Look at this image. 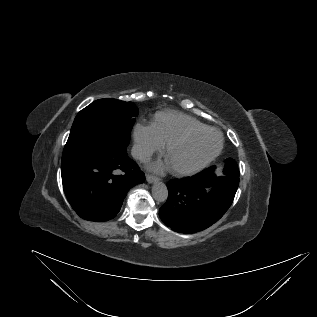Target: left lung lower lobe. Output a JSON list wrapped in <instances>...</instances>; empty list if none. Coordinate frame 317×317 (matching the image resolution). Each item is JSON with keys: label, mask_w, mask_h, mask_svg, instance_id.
Instances as JSON below:
<instances>
[{"label": "left lung lower lobe", "mask_w": 317, "mask_h": 317, "mask_svg": "<svg viewBox=\"0 0 317 317\" xmlns=\"http://www.w3.org/2000/svg\"><path fill=\"white\" fill-rule=\"evenodd\" d=\"M224 174L217 177L209 168L169 181V196L159 211L161 220L180 233H195L217 222L232 204L239 184V176Z\"/></svg>", "instance_id": "left-lung-lower-lobe-1"}]
</instances>
